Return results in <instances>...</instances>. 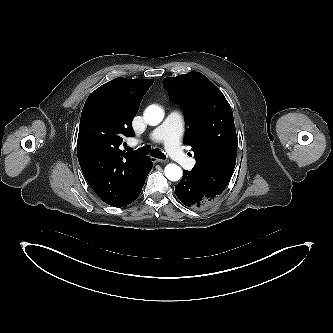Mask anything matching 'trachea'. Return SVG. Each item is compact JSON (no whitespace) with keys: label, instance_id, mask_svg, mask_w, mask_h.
Wrapping results in <instances>:
<instances>
[{"label":"trachea","instance_id":"3493384b","mask_svg":"<svg viewBox=\"0 0 333 333\" xmlns=\"http://www.w3.org/2000/svg\"><path fill=\"white\" fill-rule=\"evenodd\" d=\"M128 151H132L131 148H127ZM136 154H140V155H152L153 157L159 158V159H165L166 156L159 150L157 149H151L150 146H143L137 150L134 151Z\"/></svg>","mask_w":333,"mask_h":333}]
</instances>
